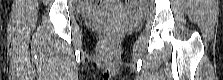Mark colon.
Returning a JSON list of instances; mask_svg holds the SVG:
<instances>
[{
	"label": "colon",
	"mask_w": 223,
	"mask_h": 80,
	"mask_svg": "<svg viewBox=\"0 0 223 80\" xmlns=\"http://www.w3.org/2000/svg\"><path fill=\"white\" fill-rule=\"evenodd\" d=\"M145 3H146L145 0H128L127 1L128 6L132 9H140L141 7H143L145 5ZM106 38H107V40H111L112 34L107 32Z\"/></svg>",
	"instance_id": "5ec220e1"
}]
</instances>
